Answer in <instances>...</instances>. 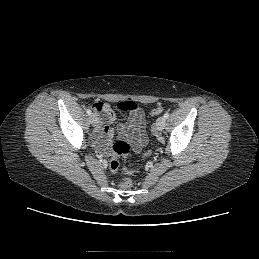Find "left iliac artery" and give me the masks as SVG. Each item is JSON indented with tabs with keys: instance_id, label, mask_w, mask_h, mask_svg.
Segmentation results:
<instances>
[{
	"instance_id": "obj_1",
	"label": "left iliac artery",
	"mask_w": 259,
	"mask_h": 259,
	"mask_svg": "<svg viewBox=\"0 0 259 259\" xmlns=\"http://www.w3.org/2000/svg\"><path fill=\"white\" fill-rule=\"evenodd\" d=\"M168 117H169V114L166 112V113L164 114V118L167 119Z\"/></svg>"
}]
</instances>
